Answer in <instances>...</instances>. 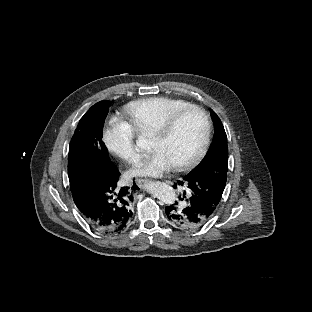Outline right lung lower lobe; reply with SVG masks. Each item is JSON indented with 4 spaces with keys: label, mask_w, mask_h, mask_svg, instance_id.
Here are the masks:
<instances>
[{
    "label": "right lung lower lobe",
    "mask_w": 312,
    "mask_h": 312,
    "mask_svg": "<svg viewBox=\"0 0 312 312\" xmlns=\"http://www.w3.org/2000/svg\"><path fill=\"white\" fill-rule=\"evenodd\" d=\"M120 172L97 170L71 186L74 202L81 216L94 230L114 235L123 232L132 217V192L119 188ZM133 190H138L134 183Z\"/></svg>",
    "instance_id": "obj_1"
}]
</instances>
